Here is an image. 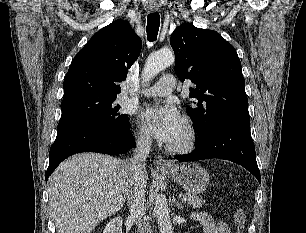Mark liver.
Masks as SVG:
<instances>
[{"instance_id": "liver-1", "label": "liver", "mask_w": 306, "mask_h": 233, "mask_svg": "<svg viewBox=\"0 0 306 233\" xmlns=\"http://www.w3.org/2000/svg\"><path fill=\"white\" fill-rule=\"evenodd\" d=\"M129 179L128 161L112 156L82 153L62 162L48 180L57 233H91L122 208Z\"/></svg>"}]
</instances>
